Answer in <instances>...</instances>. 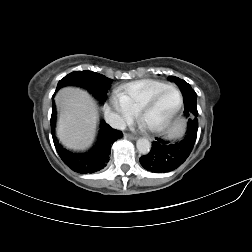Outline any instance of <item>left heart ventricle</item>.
<instances>
[{"label":"left heart ventricle","instance_id":"b2bd125f","mask_svg":"<svg viewBox=\"0 0 252 252\" xmlns=\"http://www.w3.org/2000/svg\"><path fill=\"white\" fill-rule=\"evenodd\" d=\"M177 96L169 92L159 102H157L143 117L144 125H153L163 120L174 108Z\"/></svg>","mask_w":252,"mask_h":252}]
</instances>
